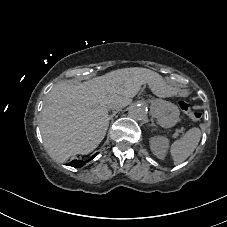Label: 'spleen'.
Masks as SVG:
<instances>
[{
    "mask_svg": "<svg viewBox=\"0 0 227 227\" xmlns=\"http://www.w3.org/2000/svg\"><path fill=\"white\" fill-rule=\"evenodd\" d=\"M200 139L201 130L194 127L189 129L182 138L176 140L170 149L174 164L184 162L194 152Z\"/></svg>",
    "mask_w": 227,
    "mask_h": 227,
    "instance_id": "spleen-1",
    "label": "spleen"
}]
</instances>
